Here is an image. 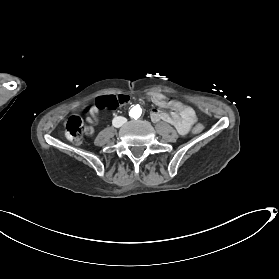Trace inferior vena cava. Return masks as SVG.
Instances as JSON below:
<instances>
[{
    "mask_svg": "<svg viewBox=\"0 0 279 279\" xmlns=\"http://www.w3.org/2000/svg\"><path fill=\"white\" fill-rule=\"evenodd\" d=\"M125 122H127V119L126 118H124V117H121V116H119V117H115L114 119H113V126L114 127H121Z\"/></svg>",
    "mask_w": 279,
    "mask_h": 279,
    "instance_id": "obj_1",
    "label": "inferior vena cava"
}]
</instances>
